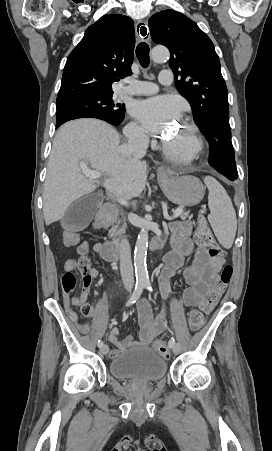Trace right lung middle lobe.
I'll use <instances>...</instances> for the list:
<instances>
[{
  "mask_svg": "<svg viewBox=\"0 0 272 451\" xmlns=\"http://www.w3.org/2000/svg\"><path fill=\"white\" fill-rule=\"evenodd\" d=\"M56 123L75 117H93L119 124L124 119V104L115 103L112 95H87L57 99Z\"/></svg>",
  "mask_w": 272,
  "mask_h": 451,
  "instance_id": "right-lung-middle-lobe-1",
  "label": "right lung middle lobe"
}]
</instances>
